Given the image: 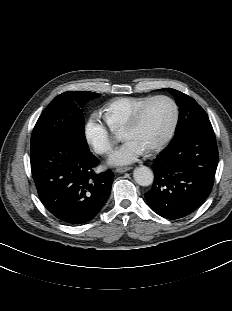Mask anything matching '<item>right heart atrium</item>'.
Returning a JSON list of instances; mask_svg holds the SVG:
<instances>
[{
  "label": "right heart atrium",
  "mask_w": 232,
  "mask_h": 311,
  "mask_svg": "<svg viewBox=\"0 0 232 311\" xmlns=\"http://www.w3.org/2000/svg\"><path fill=\"white\" fill-rule=\"evenodd\" d=\"M112 129L101 121L99 115L92 114L84 125V138L93 150L101 155L109 154L114 146Z\"/></svg>",
  "instance_id": "d8ad5b80"
}]
</instances>
